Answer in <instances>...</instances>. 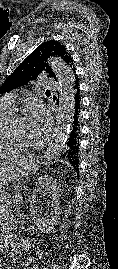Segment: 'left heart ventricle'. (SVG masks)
I'll list each match as a JSON object with an SVG mask.
<instances>
[{"instance_id":"obj_1","label":"left heart ventricle","mask_w":118,"mask_h":269,"mask_svg":"<svg viewBox=\"0 0 118 269\" xmlns=\"http://www.w3.org/2000/svg\"><path fill=\"white\" fill-rule=\"evenodd\" d=\"M12 129L15 134H17L20 137H23L24 139H32L33 137L29 134L28 126L26 123V120L24 117L17 118L13 125Z\"/></svg>"}]
</instances>
